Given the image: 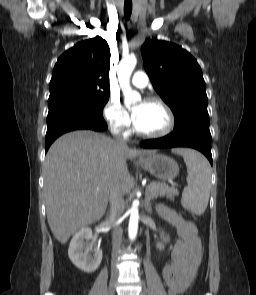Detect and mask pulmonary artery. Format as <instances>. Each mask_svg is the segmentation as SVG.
Wrapping results in <instances>:
<instances>
[{"label":"pulmonary artery","mask_w":256,"mask_h":295,"mask_svg":"<svg viewBox=\"0 0 256 295\" xmlns=\"http://www.w3.org/2000/svg\"><path fill=\"white\" fill-rule=\"evenodd\" d=\"M131 83L137 88H145L149 83V78L145 72L136 71L132 76Z\"/></svg>","instance_id":"1"}]
</instances>
